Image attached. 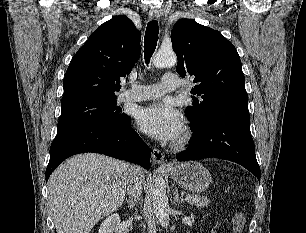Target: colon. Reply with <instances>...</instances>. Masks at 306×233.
Instances as JSON below:
<instances>
[{"label":"colon","instance_id":"colon-1","mask_svg":"<svg viewBox=\"0 0 306 233\" xmlns=\"http://www.w3.org/2000/svg\"><path fill=\"white\" fill-rule=\"evenodd\" d=\"M245 222L244 214L242 212L236 213L233 219V233H243Z\"/></svg>","mask_w":306,"mask_h":233}]
</instances>
